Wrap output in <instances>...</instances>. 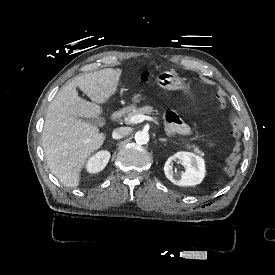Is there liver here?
<instances>
[{
  "mask_svg": "<svg viewBox=\"0 0 275 275\" xmlns=\"http://www.w3.org/2000/svg\"><path fill=\"white\" fill-rule=\"evenodd\" d=\"M122 70L105 68L75 77L62 87L48 107L42 146L51 172L67 187H77L80 171L98 150L105 134L79 117L97 118L104 103L116 92ZM79 87L92 102L78 96Z\"/></svg>",
  "mask_w": 275,
  "mask_h": 275,
  "instance_id": "1",
  "label": "liver"
}]
</instances>
